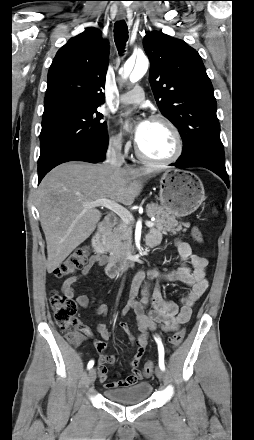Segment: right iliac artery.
Returning a JSON list of instances; mask_svg holds the SVG:
<instances>
[{
    "label": "right iliac artery",
    "mask_w": 254,
    "mask_h": 440,
    "mask_svg": "<svg viewBox=\"0 0 254 440\" xmlns=\"http://www.w3.org/2000/svg\"><path fill=\"white\" fill-rule=\"evenodd\" d=\"M93 365H94V361L91 360V361H89V363H88V365H87V368L90 369V368L93 367Z\"/></svg>",
    "instance_id": "82829eb1"
}]
</instances>
